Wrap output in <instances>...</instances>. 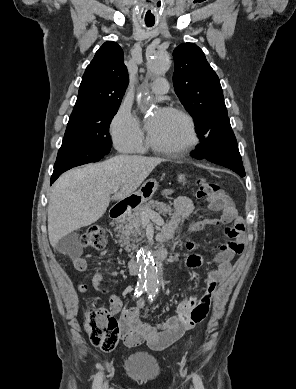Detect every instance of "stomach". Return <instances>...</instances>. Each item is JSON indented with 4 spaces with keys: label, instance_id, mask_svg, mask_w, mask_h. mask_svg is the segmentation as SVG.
<instances>
[{
    "label": "stomach",
    "instance_id": "1",
    "mask_svg": "<svg viewBox=\"0 0 296 389\" xmlns=\"http://www.w3.org/2000/svg\"><path fill=\"white\" fill-rule=\"evenodd\" d=\"M157 187L158 184L155 180H148L142 185L139 191L135 193V196L140 197L142 201H147L153 196Z\"/></svg>",
    "mask_w": 296,
    "mask_h": 389
}]
</instances>
